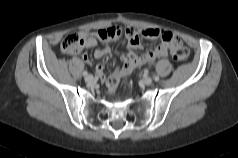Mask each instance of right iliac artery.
<instances>
[{"label":"right iliac artery","instance_id":"right-iliac-artery-1","mask_svg":"<svg viewBox=\"0 0 238 158\" xmlns=\"http://www.w3.org/2000/svg\"><path fill=\"white\" fill-rule=\"evenodd\" d=\"M87 75H88L87 71H84L83 76H87Z\"/></svg>","mask_w":238,"mask_h":158}]
</instances>
